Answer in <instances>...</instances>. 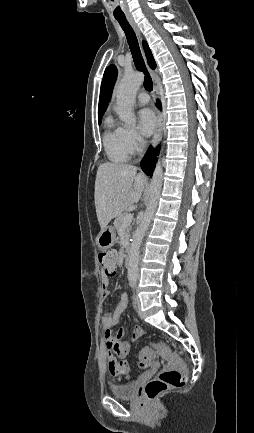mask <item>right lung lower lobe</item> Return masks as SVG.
Masks as SVG:
<instances>
[{"mask_svg":"<svg viewBox=\"0 0 254 433\" xmlns=\"http://www.w3.org/2000/svg\"><path fill=\"white\" fill-rule=\"evenodd\" d=\"M158 107L161 108L160 103H158ZM159 150H160V146H158L156 149H152V147H150L147 150L143 160L141 161V167L147 175L152 176L157 161L156 156L159 154Z\"/></svg>","mask_w":254,"mask_h":433,"instance_id":"right-lung-lower-lobe-1","label":"right lung lower lobe"}]
</instances>
